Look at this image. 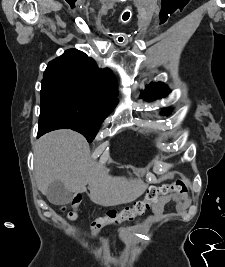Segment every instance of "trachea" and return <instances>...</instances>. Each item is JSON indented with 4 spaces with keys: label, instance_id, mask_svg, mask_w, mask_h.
Instances as JSON below:
<instances>
[{
    "label": "trachea",
    "instance_id": "1",
    "mask_svg": "<svg viewBox=\"0 0 225 267\" xmlns=\"http://www.w3.org/2000/svg\"><path fill=\"white\" fill-rule=\"evenodd\" d=\"M129 17H130V14H128L127 12H124V14H123V16H122V19H123L124 21H127V20L129 19Z\"/></svg>",
    "mask_w": 225,
    "mask_h": 267
}]
</instances>
